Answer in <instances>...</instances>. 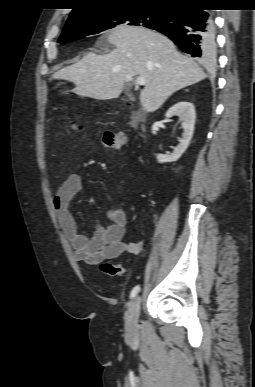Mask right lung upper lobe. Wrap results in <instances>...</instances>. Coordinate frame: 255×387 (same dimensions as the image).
<instances>
[{
  "label": "right lung upper lobe",
  "instance_id": "cb5924a9",
  "mask_svg": "<svg viewBox=\"0 0 255 387\" xmlns=\"http://www.w3.org/2000/svg\"><path fill=\"white\" fill-rule=\"evenodd\" d=\"M199 0H77V7L71 12L67 23L85 16L121 6H152L172 8L196 3Z\"/></svg>",
  "mask_w": 255,
  "mask_h": 387
}]
</instances>
